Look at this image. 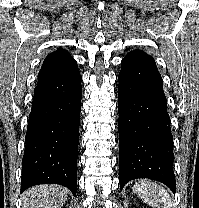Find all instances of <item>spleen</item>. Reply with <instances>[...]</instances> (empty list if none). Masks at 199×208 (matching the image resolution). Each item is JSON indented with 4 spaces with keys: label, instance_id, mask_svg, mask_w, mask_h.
I'll return each instance as SVG.
<instances>
[{
    "label": "spleen",
    "instance_id": "3e777b00",
    "mask_svg": "<svg viewBox=\"0 0 199 208\" xmlns=\"http://www.w3.org/2000/svg\"><path fill=\"white\" fill-rule=\"evenodd\" d=\"M133 191L145 203L154 208H172L168 191L156 182L141 180L134 184Z\"/></svg>",
    "mask_w": 199,
    "mask_h": 208
}]
</instances>
